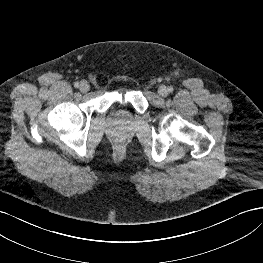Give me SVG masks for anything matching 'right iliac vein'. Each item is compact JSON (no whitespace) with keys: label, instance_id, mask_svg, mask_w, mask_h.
<instances>
[{"label":"right iliac vein","instance_id":"1","mask_svg":"<svg viewBox=\"0 0 263 263\" xmlns=\"http://www.w3.org/2000/svg\"><path fill=\"white\" fill-rule=\"evenodd\" d=\"M90 89V85L87 81H82L80 84V91L85 93Z\"/></svg>","mask_w":263,"mask_h":263}]
</instances>
